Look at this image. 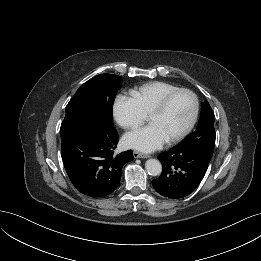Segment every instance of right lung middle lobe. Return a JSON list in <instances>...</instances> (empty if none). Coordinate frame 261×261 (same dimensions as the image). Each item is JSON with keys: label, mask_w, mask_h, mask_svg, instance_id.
<instances>
[{"label": "right lung middle lobe", "mask_w": 261, "mask_h": 261, "mask_svg": "<svg viewBox=\"0 0 261 261\" xmlns=\"http://www.w3.org/2000/svg\"><path fill=\"white\" fill-rule=\"evenodd\" d=\"M122 78L100 74L85 82L66 106L61 124V139L85 129H114L112 107Z\"/></svg>", "instance_id": "dd1d6c3e"}]
</instances>
